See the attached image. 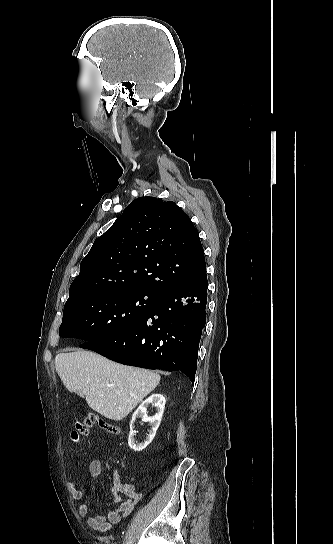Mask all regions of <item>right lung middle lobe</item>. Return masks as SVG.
Segmentation results:
<instances>
[{
	"label": "right lung middle lobe",
	"mask_w": 333,
	"mask_h": 544,
	"mask_svg": "<svg viewBox=\"0 0 333 544\" xmlns=\"http://www.w3.org/2000/svg\"><path fill=\"white\" fill-rule=\"evenodd\" d=\"M146 291H108L65 304L60 337L79 338L85 346L138 322L156 303Z\"/></svg>",
	"instance_id": "obj_1"
}]
</instances>
